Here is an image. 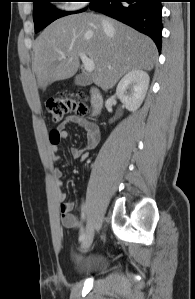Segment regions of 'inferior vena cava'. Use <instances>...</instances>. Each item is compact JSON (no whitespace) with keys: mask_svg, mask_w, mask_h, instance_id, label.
I'll return each instance as SVG.
<instances>
[{"mask_svg":"<svg viewBox=\"0 0 195 299\" xmlns=\"http://www.w3.org/2000/svg\"><path fill=\"white\" fill-rule=\"evenodd\" d=\"M102 26H103L104 29H109L110 24H109L108 20L102 19Z\"/></svg>","mask_w":195,"mask_h":299,"instance_id":"obj_1","label":"inferior vena cava"}]
</instances>
